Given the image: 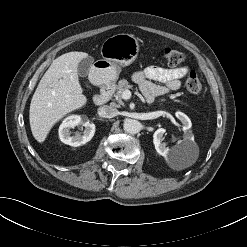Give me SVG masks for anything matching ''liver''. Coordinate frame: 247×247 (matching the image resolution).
Wrapping results in <instances>:
<instances>
[{"label": "liver", "instance_id": "liver-1", "mask_svg": "<svg viewBox=\"0 0 247 247\" xmlns=\"http://www.w3.org/2000/svg\"><path fill=\"white\" fill-rule=\"evenodd\" d=\"M87 56L85 52L65 53L53 60L41 78L29 110L31 131L39 143L45 141L57 121L87 103L77 70Z\"/></svg>", "mask_w": 247, "mask_h": 247}]
</instances>
